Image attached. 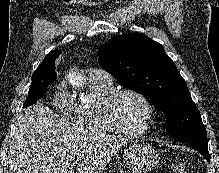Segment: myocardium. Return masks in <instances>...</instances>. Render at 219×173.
<instances>
[{
    "mask_svg": "<svg viewBox=\"0 0 219 173\" xmlns=\"http://www.w3.org/2000/svg\"><path fill=\"white\" fill-rule=\"evenodd\" d=\"M124 95H133L139 98L146 107L147 116L144 126L137 131H128L122 128L118 122L116 116V105L119 99ZM103 112L104 117L109 124V126L115 131V133L128 137V138H137L145 135L151 129V126L154 121V106L149 100V98L143 94L142 92L131 89V88H123L117 89L112 94H110L103 103Z\"/></svg>",
    "mask_w": 219,
    "mask_h": 173,
    "instance_id": "1",
    "label": "myocardium"
}]
</instances>
